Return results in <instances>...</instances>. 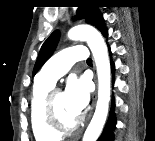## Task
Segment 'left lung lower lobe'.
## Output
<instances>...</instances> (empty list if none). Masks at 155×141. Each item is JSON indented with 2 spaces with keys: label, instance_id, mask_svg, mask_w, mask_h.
<instances>
[{
  "label": "left lung lower lobe",
  "instance_id": "left-lung-lower-lobe-1",
  "mask_svg": "<svg viewBox=\"0 0 155 141\" xmlns=\"http://www.w3.org/2000/svg\"><path fill=\"white\" fill-rule=\"evenodd\" d=\"M105 37H107V34L105 35ZM109 52L111 54L110 48H109ZM111 68H112V73H114L115 65H114L113 61H111ZM113 82H114V79H113ZM114 106H115V103H114V99H113L108 121H107L106 126H105L100 138L98 139V141H113V131H114V128L116 125Z\"/></svg>",
  "mask_w": 155,
  "mask_h": 141
}]
</instances>
